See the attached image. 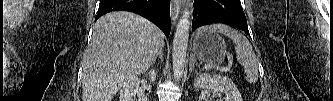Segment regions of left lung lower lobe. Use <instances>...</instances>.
<instances>
[{
    "mask_svg": "<svg viewBox=\"0 0 333 101\" xmlns=\"http://www.w3.org/2000/svg\"><path fill=\"white\" fill-rule=\"evenodd\" d=\"M192 30L213 23H224L249 34L240 0H194Z\"/></svg>",
    "mask_w": 333,
    "mask_h": 101,
    "instance_id": "1",
    "label": "left lung lower lobe"
}]
</instances>
